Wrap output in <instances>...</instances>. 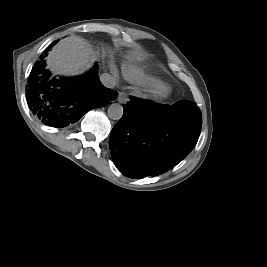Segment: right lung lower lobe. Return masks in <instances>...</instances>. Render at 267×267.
<instances>
[{"instance_id":"1","label":"right lung lower lobe","mask_w":267,"mask_h":267,"mask_svg":"<svg viewBox=\"0 0 267 267\" xmlns=\"http://www.w3.org/2000/svg\"><path fill=\"white\" fill-rule=\"evenodd\" d=\"M96 68L84 76L59 78L45 69L43 59L37 62L26 87L31 112L45 125L62 128L77 122L89 110L115 100L117 92L102 86Z\"/></svg>"}]
</instances>
